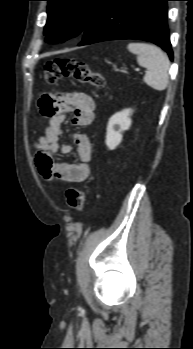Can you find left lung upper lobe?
Listing matches in <instances>:
<instances>
[{
	"label": "left lung upper lobe",
	"instance_id": "left-lung-upper-lobe-1",
	"mask_svg": "<svg viewBox=\"0 0 193 349\" xmlns=\"http://www.w3.org/2000/svg\"><path fill=\"white\" fill-rule=\"evenodd\" d=\"M48 19L44 34L50 42H60L84 32L107 0H46Z\"/></svg>",
	"mask_w": 193,
	"mask_h": 349
}]
</instances>
